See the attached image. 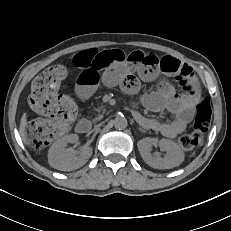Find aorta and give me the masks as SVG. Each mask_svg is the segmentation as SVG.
<instances>
[{
  "label": "aorta",
  "instance_id": "aorta-1",
  "mask_svg": "<svg viewBox=\"0 0 231 231\" xmlns=\"http://www.w3.org/2000/svg\"><path fill=\"white\" fill-rule=\"evenodd\" d=\"M128 125V121L124 116H117L114 120V127L118 130H124Z\"/></svg>",
  "mask_w": 231,
  "mask_h": 231
}]
</instances>
